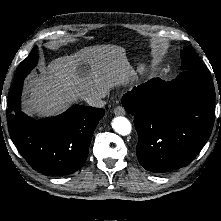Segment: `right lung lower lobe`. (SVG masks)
Instances as JSON below:
<instances>
[{
  "label": "right lung lower lobe",
  "mask_w": 221,
  "mask_h": 221,
  "mask_svg": "<svg viewBox=\"0 0 221 221\" xmlns=\"http://www.w3.org/2000/svg\"><path fill=\"white\" fill-rule=\"evenodd\" d=\"M23 80L14 82L7 101L8 131L19 153L37 172L71 174L85 162L104 109L74 105L56 117L34 120L21 111Z\"/></svg>",
  "instance_id": "right-lung-lower-lobe-1"
}]
</instances>
